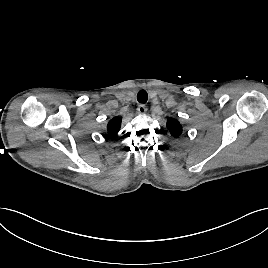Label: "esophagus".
Wrapping results in <instances>:
<instances>
[{"mask_svg": "<svg viewBox=\"0 0 268 268\" xmlns=\"http://www.w3.org/2000/svg\"><path fill=\"white\" fill-rule=\"evenodd\" d=\"M137 111L139 114H145L147 111V108L144 104H140L137 108Z\"/></svg>", "mask_w": 268, "mask_h": 268, "instance_id": "obj_1", "label": "esophagus"}]
</instances>
